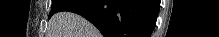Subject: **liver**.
Masks as SVG:
<instances>
[{"mask_svg":"<svg viewBox=\"0 0 219 37\" xmlns=\"http://www.w3.org/2000/svg\"><path fill=\"white\" fill-rule=\"evenodd\" d=\"M52 37H98L96 28L86 19L71 12L55 14L49 21Z\"/></svg>","mask_w":219,"mask_h":37,"instance_id":"obj_1","label":"liver"}]
</instances>
